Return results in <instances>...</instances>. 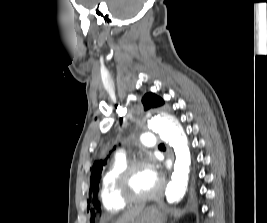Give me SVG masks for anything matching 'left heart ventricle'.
<instances>
[{
  "mask_svg": "<svg viewBox=\"0 0 267 223\" xmlns=\"http://www.w3.org/2000/svg\"><path fill=\"white\" fill-rule=\"evenodd\" d=\"M158 184L159 179L153 170L147 167H139L130 177L128 191L132 195H145L153 192Z\"/></svg>",
  "mask_w": 267,
  "mask_h": 223,
  "instance_id": "left-heart-ventricle-1",
  "label": "left heart ventricle"
}]
</instances>
